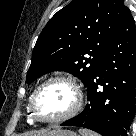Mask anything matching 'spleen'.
I'll return each instance as SVG.
<instances>
[{"mask_svg": "<svg viewBox=\"0 0 136 136\" xmlns=\"http://www.w3.org/2000/svg\"><path fill=\"white\" fill-rule=\"evenodd\" d=\"M81 136H98L97 134H94L93 132L81 129L79 130Z\"/></svg>", "mask_w": 136, "mask_h": 136, "instance_id": "obj_1", "label": "spleen"}]
</instances>
